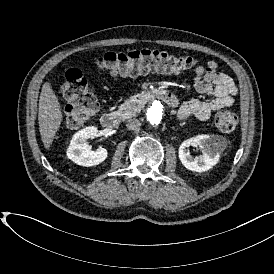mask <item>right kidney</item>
Here are the masks:
<instances>
[{
    "label": "right kidney",
    "mask_w": 274,
    "mask_h": 274,
    "mask_svg": "<svg viewBox=\"0 0 274 274\" xmlns=\"http://www.w3.org/2000/svg\"><path fill=\"white\" fill-rule=\"evenodd\" d=\"M99 134L96 126H87L73 135V138L66 151L67 157L75 164L91 167L96 166L108 157V152L105 148L92 150L88 145V139H92Z\"/></svg>",
    "instance_id": "obj_1"
}]
</instances>
